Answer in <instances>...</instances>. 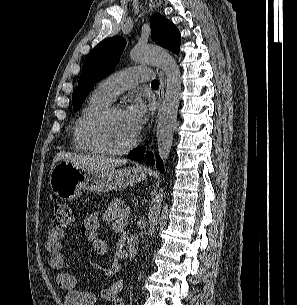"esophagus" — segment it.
<instances>
[{"label": "esophagus", "instance_id": "34e87169", "mask_svg": "<svg viewBox=\"0 0 297 305\" xmlns=\"http://www.w3.org/2000/svg\"><path fill=\"white\" fill-rule=\"evenodd\" d=\"M159 79H160V88L158 91V100H159V103L161 104L162 100L164 98V90H165V84H166L163 71L159 72ZM153 133H154V129H153Z\"/></svg>", "mask_w": 297, "mask_h": 305}]
</instances>
